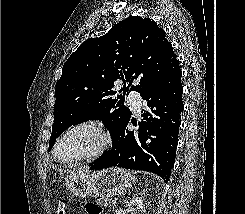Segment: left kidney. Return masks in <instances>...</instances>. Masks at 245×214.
Instances as JSON below:
<instances>
[{"label": "left kidney", "instance_id": "obj_1", "mask_svg": "<svg viewBox=\"0 0 245 214\" xmlns=\"http://www.w3.org/2000/svg\"><path fill=\"white\" fill-rule=\"evenodd\" d=\"M127 206L131 214H145L146 212L143 200L140 197L133 198Z\"/></svg>", "mask_w": 245, "mask_h": 214}]
</instances>
